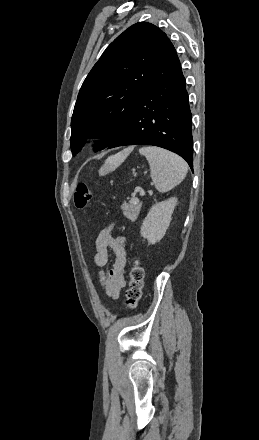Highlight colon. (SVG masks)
<instances>
[{
    "mask_svg": "<svg viewBox=\"0 0 259 440\" xmlns=\"http://www.w3.org/2000/svg\"><path fill=\"white\" fill-rule=\"evenodd\" d=\"M94 195L85 183H79L75 187L73 200L78 209H83L93 199ZM129 287L126 291L125 304L128 308H135L142 296L144 284V269L138 261H135L129 272Z\"/></svg>",
    "mask_w": 259,
    "mask_h": 440,
    "instance_id": "5ec220e1",
    "label": "colon"
}]
</instances>
